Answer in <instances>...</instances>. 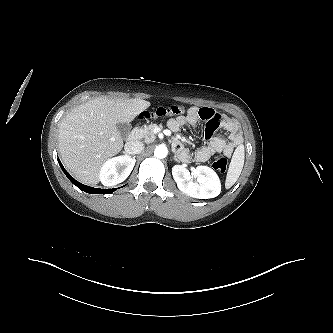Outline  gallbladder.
<instances>
[{"label": "gallbladder", "instance_id": "bac80fb5", "mask_svg": "<svg viewBox=\"0 0 333 333\" xmlns=\"http://www.w3.org/2000/svg\"><path fill=\"white\" fill-rule=\"evenodd\" d=\"M116 127L122 136H127L130 132V126L128 123H117Z\"/></svg>", "mask_w": 333, "mask_h": 333}]
</instances>
